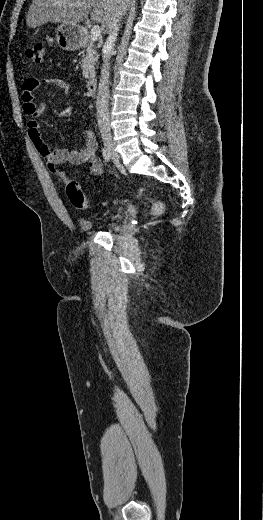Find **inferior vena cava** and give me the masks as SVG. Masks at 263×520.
Instances as JSON below:
<instances>
[{
  "mask_svg": "<svg viewBox=\"0 0 263 520\" xmlns=\"http://www.w3.org/2000/svg\"><path fill=\"white\" fill-rule=\"evenodd\" d=\"M122 14L116 12L112 28L103 47V65L101 69V77L98 85V94L96 101L97 121L101 132H110L109 120V77H110V59L113 47L117 38L119 22Z\"/></svg>",
  "mask_w": 263,
  "mask_h": 520,
  "instance_id": "1",
  "label": "inferior vena cava"
}]
</instances>
